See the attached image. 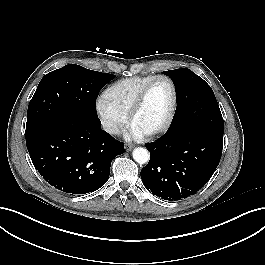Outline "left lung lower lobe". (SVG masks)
<instances>
[{
    "label": "left lung lower lobe",
    "instance_id": "1",
    "mask_svg": "<svg viewBox=\"0 0 265 265\" xmlns=\"http://www.w3.org/2000/svg\"><path fill=\"white\" fill-rule=\"evenodd\" d=\"M223 133L202 126L168 130L155 142L146 144L150 161L141 170L149 192L173 201L201 189L217 168Z\"/></svg>",
    "mask_w": 265,
    "mask_h": 265
}]
</instances>
